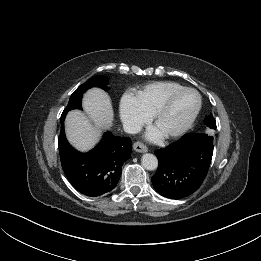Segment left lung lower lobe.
Masks as SVG:
<instances>
[{"label": "left lung lower lobe", "instance_id": "0a47b994", "mask_svg": "<svg viewBox=\"0 0 261 261\" xmlns=\"http://www.w3.org/2000/svg\"><path fill=\"white\" fill-rule=\"evenodd\" d=\"M158 169L151 178L154 189L170 199L194 193L204 181L213 155V139L205 133L186 134L155 151Z\"/></svg>", "mask_w": 261, "mask_h": 261}]
</instances>
